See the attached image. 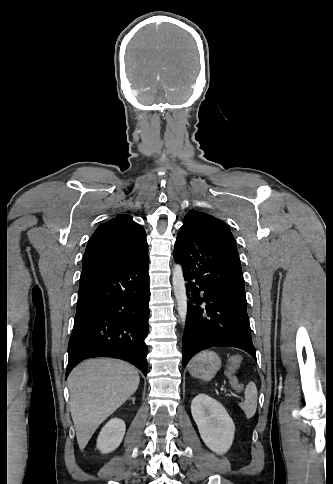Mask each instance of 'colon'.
Wrapping results in <instances>:
<instances>
[{"label":"colon","instance_id":"colon-1","mask_svg":"<svg viewBox=\"0 0 333 484\" xmlns=\"http://www.w3.org/2000/svg\"><path fill=\"white\" fill-rule=\"evenodd\" d=\"M239 365H240V358L234 357L230 360L227 368V375L229 378L230 385L233 388V390L236 392H241L244 388L243 384L239 381V379L235 375L236 369L239 367Z\"/></svg>","mask_w":333,"mask_h":484}]
</instances>
